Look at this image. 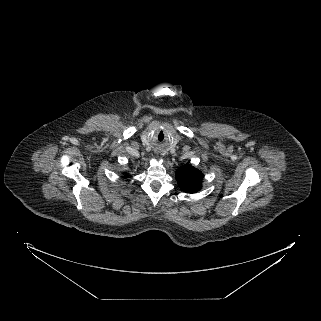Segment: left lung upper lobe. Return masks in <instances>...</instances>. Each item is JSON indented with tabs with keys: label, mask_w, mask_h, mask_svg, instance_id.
Returning a JSON list of instances; mask_svg holds the SVG:
<instances>
[{
	"label": "left lung upper lobe",
	"mask_w": 321,
	"mask_h": 321,
	"mask_svg": "<svg viewBox=\"0 0 321 321\" xmlns=\"http://www.w3.org/2000/svg\"><path fill=\"white\" fill-rule=\"evenodd\" d=\"M203 175L202 173L192 167L186 165L176 171L177 182L184 192L195 193L201 189Z\"/></svg>",
	"instance_id": "obj_1"
}]
</instances>
